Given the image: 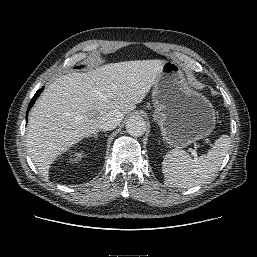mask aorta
Segmentation results:
<instances>
[{
  "label": "aorta",
  "instance_id": "1",
  "mask_svg": "<svg viewBox=\"0 0 257 257\" xmlns=\"http://www.w3.org/2000/svg\"><path fill=\"white\" fill-rule=\"evenodd\" d=\"M126 130L131 136H142L146 131V122L140 116H132L126 122Z\"/></svg>",
  "mask_w": 257,
  "mask_h": 257
}]
</instances>
